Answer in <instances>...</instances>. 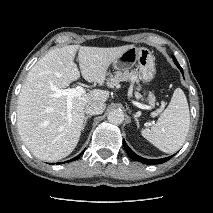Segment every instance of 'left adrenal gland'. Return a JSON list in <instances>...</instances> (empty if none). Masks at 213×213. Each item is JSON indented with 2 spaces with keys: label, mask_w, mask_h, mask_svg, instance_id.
<instances>
[{
  "label": "left adrenal gland",
  "mask_w": 213,
  "mask_h": 213,
  "mask_svg": "<svg viewBox=\"0 0 213 213\" xmlns=\"http://www.w3.org/2000/svg\"><path fill=\"white\" fill-rule=\"evenodd\" d=\"M135 121H136L137 127L139 128V121L136 116H135Z\"/></svg>",
  "instance_id": "left-adrenal-gland-1"
}]
</instances>
